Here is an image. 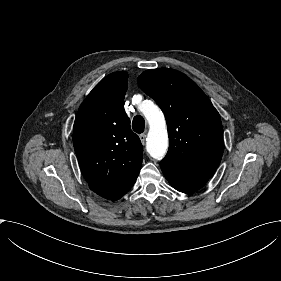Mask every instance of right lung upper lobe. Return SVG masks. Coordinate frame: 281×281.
Segmentation results:
<instances>
[{"mask_svg": "<svg viewBox=\"0 0 281 281\" xmlns=\"http://www.w3.org/2000/svg\"><path fill=\"white\" fill-rule=\"evenodd\" d=\"M128 74L103 78L81 104L73 144L89 187L103 198L113 196L142 166V144L124 110Z\"/></svg>", "mask_w": 281, "mask_h": 281, "instance_id": "cb5924a9", "label": "right lung upper lobe"}]
</instances>
